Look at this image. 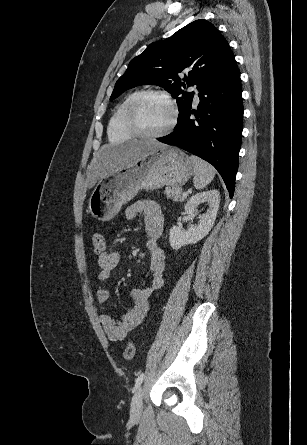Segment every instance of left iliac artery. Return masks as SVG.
Instances as JSON below:
<instances>
[{"label":"left iliac artery","mask_w":307,"mask_h":445,"mask_svg":"<svg viewBox=\"0 0 307 445\" xmlns=\"http://www.w3.org/2000/svg\"><path fill=\"white\" fill-rule=\"evenodd\" d=\"M143 378H144V373H141V374L137 377L136 382H135V388H136V389L141 385V383H142V381H143Z\"/></svg>","instance_id":"44dca946"}]
</instances>
